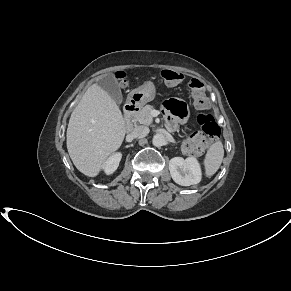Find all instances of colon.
<instances>
[{"mask_svg": "<svg viewBox=\"0 0 291 291\" xmlns=\"http://www.w3.org/2000/svg\"><path fill=\"white\" fill-rule=\"evenodd\" d=\"M183 77V74L178 71L166 69L161 72V78L164 83L171 86L180 83ZM119 79L122 80L123 76H120ZM190 87L196 108L198 109L197 122L201 130L186 136L182 140V149L186 154L197 155L214 142L220 130L213 117L205 111L208 106V98L204 92L203 84L195 79L191 81Z\"/></svg>", "mask_w": 291, "mask_h": 291, "instance_id": "1", "label": "colon"}]
</instances>
